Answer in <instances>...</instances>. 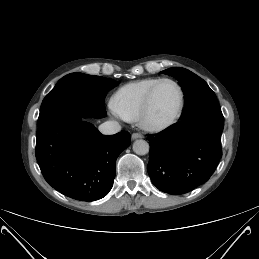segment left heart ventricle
<instances>
[{
  "mask_svg": "<svg viewBox=\"0 0 259 259\" xmlns=\"http://www.w3.org/2000/svg\"><path fill=\"white\" fill-rule=\"evenodd\" d=\"M179 104L177 88L169 82L158 86L154 93L149 119L153 123H162L169 120L176 112Z\"/></svg>",
  "mask_w": 259,
  "mask_h": 259,
  "instance_id": "left-heart-ventricle-1",
  "label": "left heart ventricle"
}]
</instances>
